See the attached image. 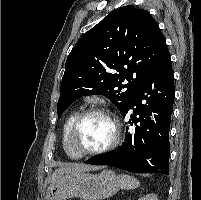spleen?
Listing matches in <instances>:
<instances>
[{
  "instance_id": "obj_1",
  "label": "spleen",
  "mask_w": 201,
  "mask_h": 200,
  "mask_svg": "<svg viewBox=\"0 0 201 200\" xmlns=\"http://www.w3.org/2000/svg\"><path fill=\"white\" fill-rule=\"evenodd\" d=\"M119 186L124 190L136 189L139 187L140 182L129 175L121 174L118 176Z\"/></svg>"
}]
</instances>
